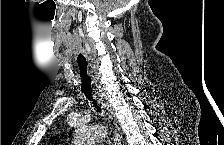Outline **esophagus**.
Wrapping results in <instances>:
<instances>
[{
    "label": "esophagus",
    "mask_w": 224,
    "mask_h": 145,
    "mask_svg": "<svg viewBox=\"0 0 224 145\" xmlns=\"http://www.w3.org/2000/svg\"><path fill=\"white\" fill-rule=\"evenodd\" d=\"M97 99H98V102L102 104V108L105 109L107 117L109 119L110 118L112 119L114 117L112 106L111 104H109L107 101L104 100V93L102 92V90H99L97 92ZM113 141H114V145H121V137L117 129H115L114 131Z\"/></svg>",
    "instance_id": "esophagus-1"
}]
</instances>
